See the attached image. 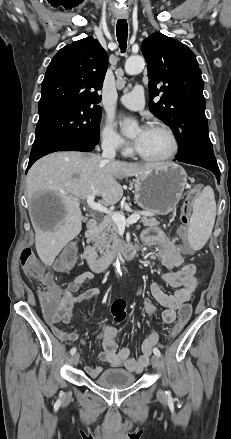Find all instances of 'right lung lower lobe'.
<instances>
[{"label": "right lung lower lobe", "instance_id": "1", "mask_svg": "<svg viewBox=\"0 0 231 439\" xmlns=\"http://www.w3.org/2000/svg\"><path fill=\"white\" fill-rule=\"evenodd\" d=\"M97 144L81 141H58L48 144L33 146L27 170L39 158L56 151H82L90 152Z\"/></svg>", "mask_w": 231, "mask_h": 439}]
</instances>
